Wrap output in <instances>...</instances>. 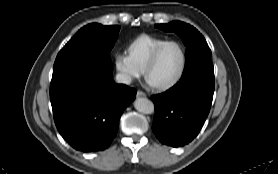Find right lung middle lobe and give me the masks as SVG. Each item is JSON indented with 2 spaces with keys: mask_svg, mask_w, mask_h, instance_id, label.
<instances>
[{
  "mask_svg": "<svg viewBox=\"0 0 278 174\" xmlns=\"http://www.w3.org/2000/svg\"><path fill=\"white\" fill-rule=\"evenodd\" d=\"M119 30L120 26H103L98 23L81 28L58 53L53 75L69 68L112 73L110 51L117 40Z\"/></svg>",
  "mask_w": 278,
  "mask_h": 174,
  "instance_id": "1",
  "label": "right lung middle lobe"
}]
</instances>
